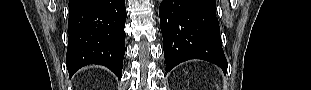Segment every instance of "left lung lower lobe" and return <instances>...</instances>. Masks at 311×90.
<instances>
[{"instance_id":"1","label":"left lung lower lobe","mask_w":311,"mask_h":90,"mask_svg":"<svg viewBox=\"0 0 311 90\" xmlns=\"http://www.w3.org/2000/svg\"><path fill=\"white\" fill-rule=\"evenodd\" d=\"M166 72L189 59H202L227 72L215 0H163L159 9Z\"/></svg>"}]
</instances>
